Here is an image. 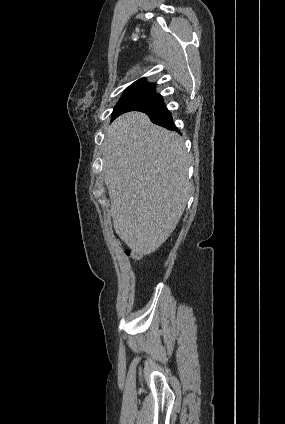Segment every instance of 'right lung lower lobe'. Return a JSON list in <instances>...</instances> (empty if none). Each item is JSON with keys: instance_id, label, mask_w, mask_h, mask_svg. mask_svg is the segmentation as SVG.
Instances as JSON below:
<instances>
[{"instance_id": "right-lung-lower-lobe-1", "label": "right lung lower lobe", "mask_w": 285, "mask_h": 424, "mask_svg": "<svg viewBox=\"0 0 285 424\" xmlns=\"http://www.w3.org/2000/svg\"><path fill=\"white\" fill-rule=\"evenodd\" d=\"M129 111L144 112L150 117V120L153 123L170 130L178 131L177 127L173 123L171 113L164 105L160 94L154 93L150 96L134 101L121 114Z\"/></svg>"}]
</instances>
